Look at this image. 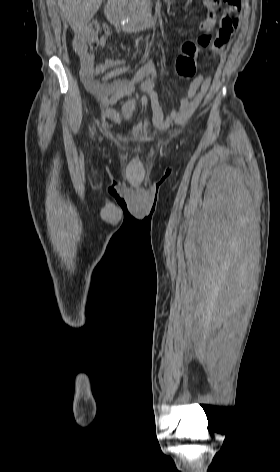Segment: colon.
I'll use <instances>...</instances> for the list:
<instances>
[{
  "instance_id": "colon-1",
  "label": "colon",
  "mask_w": 280,
  "mask_h": 472,
  "mask_svg": "<svg viewBox=\"0 0 280 472\" xmlns=\"http://www.w3.org/2000/svg\"><path fill=\"white\" fill-rule=\"evenodd\" d=\"M211 3L214 6L220 4L225 6V15L222 19L223 22L234 24L237 21L234 16L237 15L241 9V0H211ZM102 31L107 32V28L103 27L97 21H92L82 30L77 38L94 48L97 46V39ZM175 73L182 79L189 78L195 73V63L188 59H178L175 65Z\"/></svg>"
}]
</instances>
